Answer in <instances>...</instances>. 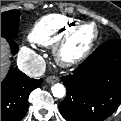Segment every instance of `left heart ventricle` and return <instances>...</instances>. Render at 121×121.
<instances>
[{
	"instance_id": "obj_1",
	"label": "left heart ventricle",
	"mask_w": 121,
	"mask_h": 121,
	"mask_svg": "<svg viewBox=\"0 0 121 121\" xmlns=\"http://www.w3.org/2000/svg\"><path fill=\"white\" fill-rule=\"evenodd\" d=\"M94 36V30L91 27L80 29L71 39L65 48V54L71 56L82 52L85 47L90 43Z\"/></svg>"
}]
</instances>
